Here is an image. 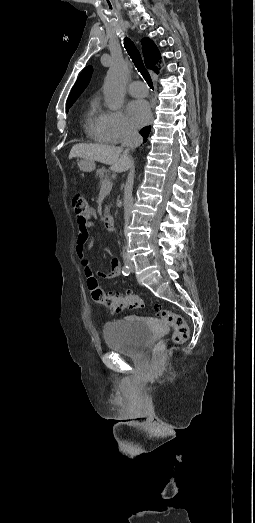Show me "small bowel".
<instances>
[{"label":"small bowel","mask_w":255,"mask_h":523,"mask_svg":"<svg viewBox=\"0 0 255 523\" xmlns=\"http://www.w3.org/2000/svg\"><path fill=\"white\" fill-rule=\"evenodd\" d=\"M97 218V213L94 209L79 216V227L77 235L76 255L83 266L87 278L92 277V270L90 263L86 258V250L93 247V241L89 239V230L95 226L94 220ZM110 271L98 272L99 277L111 280L117 278L121 273V267L117 258L112 257L109 260Z\"/></svg>","instance_id":"c3829d8e"}]
</instances>
